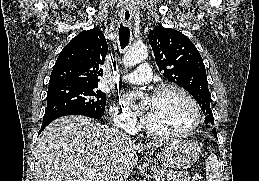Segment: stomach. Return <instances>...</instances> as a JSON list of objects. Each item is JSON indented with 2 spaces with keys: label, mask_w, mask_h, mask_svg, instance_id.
I'll return each mask as SVG.
<instances>
[{
  "label": "stomach",
  "mask_w": 259,
  "mask_h": 181,
  "mask_svg": "<svg viewBox=\"0 0 259 181\" xmlns=\"http://www.w3.org/2000/svg\"><path fill=\"white\" fill-rule=\"evenodd\" d=\"M200 147L190 140H167L158 154L163 166L172 169H187L199 159Z\"/></svg>",
  "instance_id": "0dacf381"
}]
</instances>
